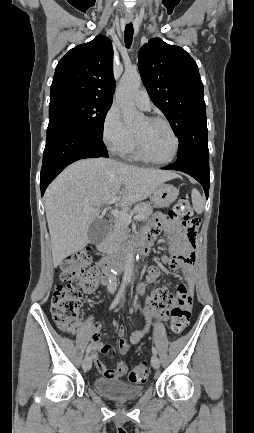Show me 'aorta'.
Instances as JSON below:
<instances>
[{
  "instance_id": "762f6f07",
  "label": "aorta",
  "mask_w": 254,
  "mask_h": 433,
  "mask_svg": "<svg viewBox=\"0 0 254 433\" xmlns=\"http://www.w3.org/2000/svg\"><path fill=\"white\" fill-rule=\"evenodd\" d=\"M141 85V77L137 72H125L122 76L119 90L117 93V104L119 105L125 124L128 126L137 125L142 119L143 114L134 105V95ZM134 255L130 250L127 252L123 281L129 282L133 275Z\"/></svg>"
}]
</instances>
